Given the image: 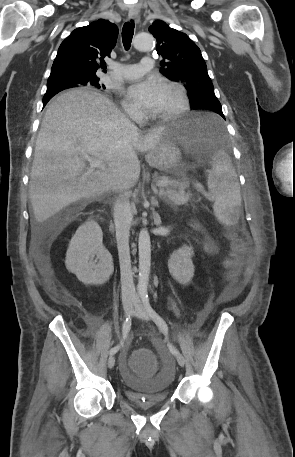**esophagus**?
Instances as JSON below:
<instances>
[{"label":"esophagus","mask_w":295,"mask_h":457,"mask_svg":"<svg viewBox=\"0 0 295 457\" xmlns=\"http://www.w3.org/2000/svg\"><path fill=\"white\" fill-rule=\"evenodd\" d=\"M128 17L131 20H135L136 22H139V20H140L139 11L136 8H131L128 12Z\"/></svg>","instance_id":"obj_1"}]
</instances>
